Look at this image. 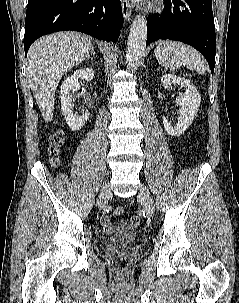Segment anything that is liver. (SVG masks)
<instances>
[{"instance_id":"6515ba94","label":"liver","mask_w":239,"mask_h":303,"mask_svg":"<svg viewBox=\"0 0 239 303\" xmlns=\"http://www.w3.org/2000/svg\"><path fill=\"white\" fill-rule=\"evenodd\" d=\"M91 47V37L71 31L44 36L30 47L28 82L46 122L53 118L55 91L61 78L89 56Z\"/></svg>"}]
</instances>
